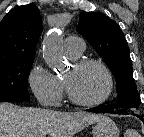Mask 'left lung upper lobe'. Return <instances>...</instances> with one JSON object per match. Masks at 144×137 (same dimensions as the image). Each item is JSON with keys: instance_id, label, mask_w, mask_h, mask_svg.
<instances>
[{"instance_id": "5c2ea615", "label": "left lung upper lobe", "mask_w": 144, "mask_h": 137, "mask_svg": "<svg viewBox=\"0 0 144 137\" xmlns=\"http://www.w3.org/2000/svg\"><path fill=\"white\" fill-rule=\"evenodd\" d=\"M77 28L103 58L115 77L117 104L110 107L138 108L140 99L133 79L129 47L117 23L99 12H82Z\"/></svg>"}]
</instances>
